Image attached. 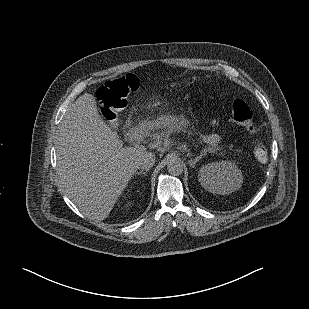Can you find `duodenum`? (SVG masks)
<instances>
[{
	"label": "duodenum",
	"instance_id": "410a0bca",
	"mask_svg": "<svg viewBox=\"0 0 309 309\" xmlns=\"http://www.w3.org/2000/svg\"><path fill=\"white\" fill-rule=\"evenodd\" d=\"M151 130V126L146 123H140L131 129V138L136 141L144 138Z\"/></svg>",
	"mask_w": 309,
	"mask_h": 309
}]
</instances>
